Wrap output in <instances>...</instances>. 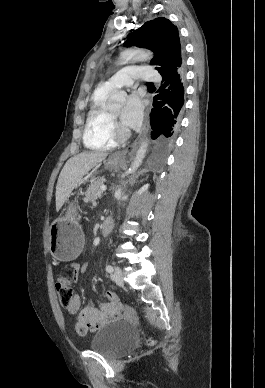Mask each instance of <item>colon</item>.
Wrapping results in <instances>:
<instances>
[{
	"label": "colon",
	"mask_w": 265,
	"mask_h": 388,
	"mask_svg": "<svg viewBox=\"0 0 265 388\" xmlns=\"http://www.w3.org/2000/svg\"><path fill=\"white\" fill-rule=\"evenodd\" d=\"M55 287L61 305L64 307H68L71 304L73 298V288L71 280L67 276H62L56 281ZM106 297L110 303H119V297L115 292H107ZM148 343L151 345L154 343V341L149 340Z\"/></svg>",
	"instance_id": "colon-1"
}]
</instances>
